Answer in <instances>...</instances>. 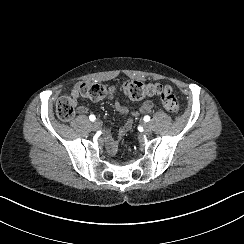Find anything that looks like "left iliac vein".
Instances as JSON below:
<instances>
[{
    "mask_svg": "<svg viewBox=\"0 0 244 244\" xmlns=\"http://www.w3.org/2000/svg\"><path fill=\"white\" fill-rule=\"evenodd\" d=\"M143 129H144L145 133H147V134H150L152 132V127L149 123L145 122L143 124Z\"/></svg>",
    "mask_w": 244,
    "mask_h": 244,
    "instance_id": "1",
    "label": "left iliac vein"
}]
</instances>
